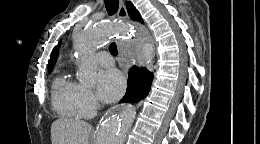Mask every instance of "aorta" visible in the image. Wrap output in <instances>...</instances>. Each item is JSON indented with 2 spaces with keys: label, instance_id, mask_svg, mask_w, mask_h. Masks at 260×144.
<instances>
[{
  "label": "aorta",
  "instance_id": "762f6f07",
  "mask_svg": "<svg viewBox=\"0 0 260 144\" xmlns=\"http://www.w3.org/2000/svg\"><path fill=\"white\" fill-rule=\"evenodd\" d=\"M120 30L121 27L113 22H101L74 33V47L80 60L77 77L84 85L92 86L95 83L97 64L94 55L97 46L108 43L112 35ZM129 52L134 58L138 50L131 46ZM134 117L135 110L131 105L118 109L106 117L100 124L96 144H124Z\"/></svg>",
  "mask_w": 260,
  "mask_h": 144
}]
</instances>
